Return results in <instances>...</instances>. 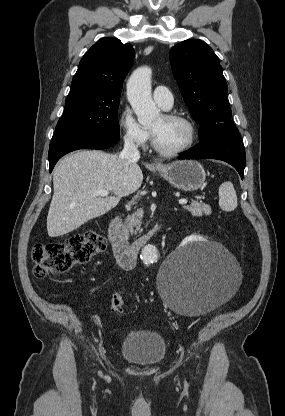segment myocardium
Instances as JSON below:
<instances>
[{"instance_id": "obj_1", "label": "myocardium", "mask_w": 285, "mask_h": 416, "mask_svg": "<svg viewBox=\"0 0 285 416\" xmlns=\"http://www.w3.org/2000/svg\"><path fill=\"white\" fill-rule=\"evenodd\" d=\"M163 116L166 119L180 121L184 123L188 129V140L182 147L178 149L165 150L157 144L154 134L152 132V144H153L154 150L159 155L164 156V157H176V156L186 153L188 150H190L193 147L195 140H196V129H195L194 123L191 121L189 117L180 113L167 112V113H164Z\"/></svg>"}]
</instances>
